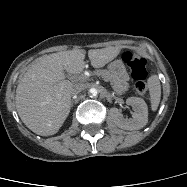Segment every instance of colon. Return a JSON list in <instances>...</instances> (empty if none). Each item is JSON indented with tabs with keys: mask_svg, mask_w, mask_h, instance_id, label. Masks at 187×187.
<instances>
[{
	"mask_svg": "<svg viewBox=\"0 0 187 187\" xmlns=\"http://www.w3.org/2000/svg\"><path fill=\"white\" fill-rule=\"evenodd\" d=\"M123 60L130 67L137 93L141 95L147 94V67L145 58L137 51H127L123 54Z\"/></svg>",
	"mask_w": 187,
	"mask_h": 187,
	"instance_id": "1",
	"label": "colon"
}]
</instances>
